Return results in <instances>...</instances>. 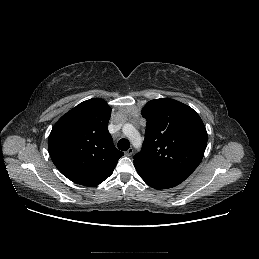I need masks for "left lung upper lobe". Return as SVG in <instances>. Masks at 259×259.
Wrapping results in <instances>:
<instances>
[{"instance_id": "left-lung-upper-lobe-1", "label": "left lung upper lobe", "mask_w": 259, "mask_h": 259, "mask_svg": "<svg viewBox=\"0 0 259 259\" xmlns=\"http://www.w3.org/2000/svg\"><path fill=\"white\" fill-rule=\"evenodd\" d=\"M142 116L147 121L145 140L134 161L189 177L200 164L207 145V131L200 116L170 98L149 101Z\"/></svg>"}]
</instances>
